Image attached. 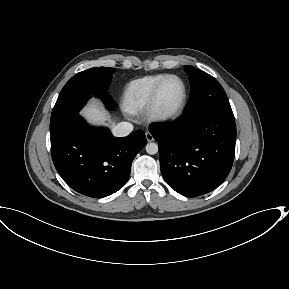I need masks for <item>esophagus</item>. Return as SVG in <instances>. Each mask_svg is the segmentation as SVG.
<instances>
[{
	"label": "esophagus",
	"mask_w": 289,
	"mask_h": 289,
	"mask_svg": "<svg viewBox=\"0 0 289 289\" xmlns=\"http://www.w3.org/2000/svg\"><path fill=\"white\" fill-rule=\"evenodd\" d=\"M145 136L148 142H152L154 140L153 135L149 131L145 133Z\"/></svg>",
	"instance_id": "34e87169"
}]
</instances>
